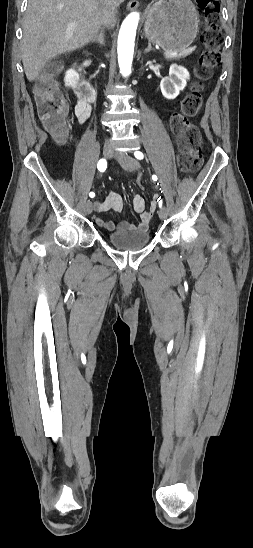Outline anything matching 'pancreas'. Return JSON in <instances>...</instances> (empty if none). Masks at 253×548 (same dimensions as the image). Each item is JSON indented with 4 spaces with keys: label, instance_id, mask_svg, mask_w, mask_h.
Segmentation results:
<instances>
[{
    "label": "pancreas",
    "instance_id": "cf45deb5",
    "mask_svg": "<svg viewBox=\"0 0 253 548\" xmlns=\"http://www.w3.org/2000/svg\"><path fill=\"white\" fill-rule=\"evenodd\" d=\"M192 51L191 50H184L180 53H177L176 55L172 56L170 55L171 52H166L165 53V57L166 59H169V60H172V59H181V58H185L186 56H188Z\"/></svg>",
    "mask_w": 253,
    "mask_h": 548
}]
</instances>
